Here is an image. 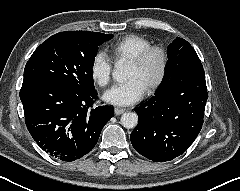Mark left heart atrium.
I'll return each mask as SVG.
<instances>
[{"mask_svg": "<svg viewBox=\"0 0 240 191\" xmlns=\"http://www.w3.org/2000/svg\"><path fill=\"white\" fill-rule=\"evenodd\" d=\"M146 92V86L135 77L114 85L103 96L108 103L126 106L139 101Z\"/></svg>", "mask_w": 240, "mask_h": 191, "instance_id": "left-heart-atrium-1", "label": "left heart atrium"}]
</instances>
